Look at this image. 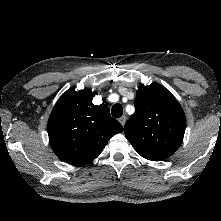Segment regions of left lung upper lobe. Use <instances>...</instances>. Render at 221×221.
<instances>
[{
	"instance_id": "1",
	"label": "left lung upper lobe",
	"mask_w": 221,
	"mask_h": 221,
	"mask_svg": "<svg viewBox=\"0 0 221 221\" xmlns=\"http://www.w3.org/2000/svg\"><path fill=\"white\" fill-rule=\"evenodd\" d=\"M136 94L135 113L124 126L125 136L142 157L166 159L182 142L185 114L174 96L158 83L142 85Z\"/></svg>"
}]
</instances>
